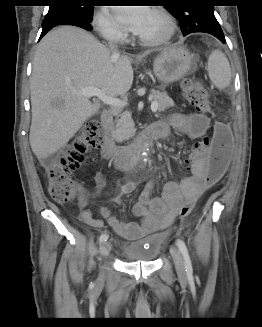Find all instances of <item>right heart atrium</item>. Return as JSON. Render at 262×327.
<instances>
[{
    "label": "right heart atrium",
    "mask_w": 262,
    "mask_h": 327,
    "mask_svg": "<svg viewBox=\"0 0 262 327\" xmlns=\"http://www.w3.org/2000/svg\"><path fill=\"white\" fill-rule=\"evenodd\" d=\"M92 24L99 36L106 41L122 43L126 38L125 32L116 24L105 8L99 9L94 14Z\"/></svg>",
    "instance_id": "1"
}]
</instances>
